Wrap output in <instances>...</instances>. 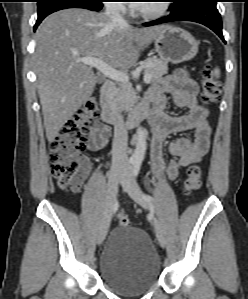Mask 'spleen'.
<instances>
[{"label": "spleen", "instance_id": "obj_1", "mask_svg": "<svg viewBox=\"0 0 248 299\" xmlns=\"http://www.w3.org/2000/svg\"><path fill=\"white\" fill-rule=\"evenodd\" d=\"M214 74H215L216 77H219V75H220V71H219L218 68H216V69L214 70Z\"/></svg>", "mask_w": 248, "mask_h": 299}]
</instances>
